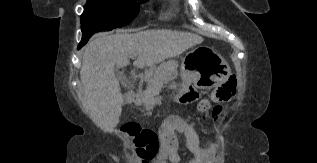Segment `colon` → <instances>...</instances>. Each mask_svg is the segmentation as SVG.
Masks as SVG:
<instances>
[{"instance_id":"5ec220e1","label":"colon","mask_w":317,"mask_h":163,"mask_svg":"<svg viewBox=\"0 0 317 163\" xmlns=\"http://www.w3.org/2000/svg\"><path fill=\"white\" fill-rule=\"evenodd\" d=\"M238 91L237 80L234 76L230 77L223 84L212 92L209 98L203 99L198 104V109L204 113V118L215 117L221 111L220 106L214 107L211 111L212 103H224L231 100ZM181 103L190 102V95L180 98ZM124 131L133 139L136 154L142 163H150L155 160L159 152V135L151 129L141 128L137 124H129Z\"/></svg>"}]
</instances>
